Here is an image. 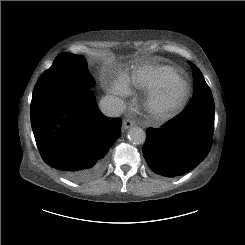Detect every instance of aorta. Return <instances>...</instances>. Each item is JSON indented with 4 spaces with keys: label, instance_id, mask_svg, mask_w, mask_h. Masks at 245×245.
Returning <instances> with one entry per match:
<instances>
[{
    "label": "aorta",
    "instance_id": "762f6f07",
    "mask_svg": "<svg viewBox=\"0 0 245 245\" xmlns=\"http://www.w3.org/2000/svg\"><path fill=\"white\" fill-rule=\"evenodd\" d=\"M128 138L134 144H143L146 140V133L142 128L133 127L128 131Z\"/></svg>",
    "mask_w": 245,
    "mask_h": 245
}]
</instances>
